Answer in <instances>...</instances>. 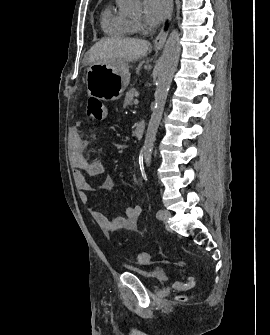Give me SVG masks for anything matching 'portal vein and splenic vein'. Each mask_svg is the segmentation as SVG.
<instances>
[{"label":"portal vein and splenic vein","mask_w":270,"mask_h":335,"mask_svg":"<svg viewBox=\"0 0 270 335\" xmlns=\"http://www.w3.org/2000/svg\"><path fill=\"white\" fill-rule=\"evenodd\" d=\"M138 103H139V100L135 99L134 104L137 105Z\"/></svg>","instance_id":"portal-vein-and-splenic-vein-1"}]
</instances>
